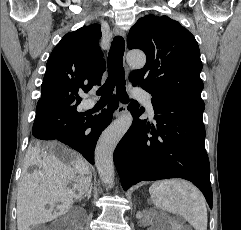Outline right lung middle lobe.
Returning <instances> with one entry per match:
<instances>
[{"mask_svg":"<svg viewBox=\"0 0 241 230\" xmlns=\"http://www.w3.org/2000/svg\"><path fill=\"white\" fill-rule=\"evenodd\" d=\"M78 103L61 106H37V112L42 114L41 123L53 130L65 132L78 126L84 119L85 113L78 111Z\"/></svg>","mask_w":241,"mask_h":230,"instance_id":"1","label":"right lung middle lobe"}]
</instances>
